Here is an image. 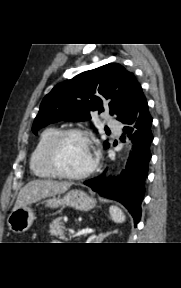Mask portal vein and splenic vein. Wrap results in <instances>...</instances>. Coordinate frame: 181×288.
<instances>
[{"mask_svg": "<svg viewBox=\"0 0 181 288\" xmlns=\"http://www.w3.org/2000/svg\"><path fill=\"white\" fill-rule=\"evenodd\" d=\"M92 232H94V230L93 229H83V230H81V231H78L76 234H73V237H75V236H79V235H85V234H90V233H92Z\"/></svg>", "mask_w": 181, "mask_h": 288, "instance_id": "18ae733b", "label": "portal vein and splenic vein"}]
</instances>
